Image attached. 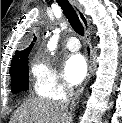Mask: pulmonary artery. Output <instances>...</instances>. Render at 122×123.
I'll return each instance as SVG.
<instances>
[{"instance_id":"pulmonary-artery-1","label":"pulmonary artery","mask_w":122,"mask_h":123,"mask_svg":"<svg viewBox=\"0 0 122 123\" xmlns=\"http://www.w3.org/2000/svg\"><path fill=\"white\" fill-rule=\"evenodd\" d=\"M66 47L70 51H78L80 49V43L76 37H70L66 42Z\"/></svg>"}]
</instances>
